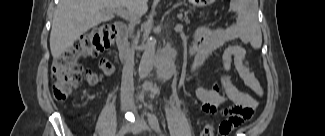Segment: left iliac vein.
I'll list each match as a JSON object with an SVG mask.
<instances>
[{"label": "left iliac vein", "instance_id": "4c4485c4", "mask_svg": "<svg viewBox=\"0 0 325 136\" xmlns=\"http://www.w3.org/2000/svg\"><path fill=\"white\" fill-rule=\"evenodd\" d=\"M132 131L133 132H145V131H149L150 128L145 124V122L143 120H139L136 121L133 126H132Z\"/></svg>", "mask_w": 325, "mask_h": 136}]
</instances>
